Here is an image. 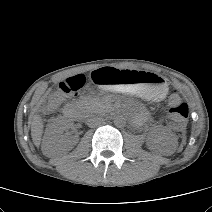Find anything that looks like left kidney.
Wrapping results in <instances>:
<instances>
[{"label": "left kidney", "instance_id": "1", "mask_svg": "<svg viewBox=\"0 0 212 212\" xmlns=\"http://www.w3.org/2000/svg\"><path fill=\"white\" fill-rule=\"evenodd\" d=\"M149 149L163 155H171L177 148V137L168 129H162L147 142Z\"/></svg>", "mask_w": 212, "mask_h": 212}]
</instances>
